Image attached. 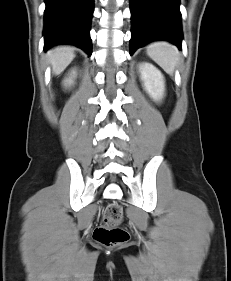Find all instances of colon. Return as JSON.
<instances>
[{
	"label": "colon",
	"mask_w": 231,
	"mask_h": 281,
	"mask_svg": "<svg viewBox=\"0 0 231 281\" xmlns=\"http://www.w3.org/2000/svg\"><path fill=\"white\" fill-rule=\"evenodd\" d=\"M122 219L121 207L117 203L109 204L103 212L102 223L94 231V239L106 247H115L127 242L129 234L120 226Z\"/></svg>",
	"instance_id": "obj_1"
}]
</instances>
